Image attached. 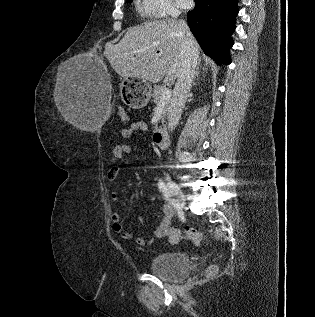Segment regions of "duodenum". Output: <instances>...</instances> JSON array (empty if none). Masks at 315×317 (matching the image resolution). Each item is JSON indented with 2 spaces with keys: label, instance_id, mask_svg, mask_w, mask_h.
Returning a JSON list of instances; mask_svg holds the SVG:
<instances>
[{
  "label": "duodenum",
  "instance_id": "1",
  "mask_svg": "<svg viewBox=\"0 0 315 317\" xmlns=\"http://www.w3.org/2000/svg\"><path fill=\"white\" fill-rule=\"evenodd\" d=\"M153 140L161 148H166L168 146V134L162 128L155 130L153 134Z\"/></svg>",
  "mask_w": 315,
  "mask_h": 317
}]
</instances>
